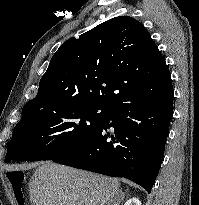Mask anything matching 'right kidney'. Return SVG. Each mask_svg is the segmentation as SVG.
Returning <instances> with one entry per match:
<instances>
[{
	"label": "right kidney",
	"instance_id": "ca27d5eb",
	"mask_svg": "<svg viewBox=\"0 0 199 205\" xmlns=\"http://www.w3.org/2000/svg\"><path fill=\"white\" fill-rule=\"evenodd\" d=\"M124 205H141L138 198H130Z\"/></svg>",
	"mask_w": 199,
	"mask_h": 205
}]
</instances>
